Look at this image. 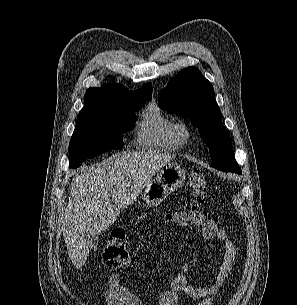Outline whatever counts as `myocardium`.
Masks as SVG:
<instances>
[{"instance_id": "1", "label": "myocardium", "mask_w": 297, "mask_h": 305, "mask_svg": "<svg viewBox=\"0 0 297 305\" xmlns=\"http://www.w3.org/2000/svg\"><path fill=\"white\" fill-rule=\"evenodd\" d=\"M173 134L177 144L183 146L187 144L191 138V128L185 122H176L173 126Z\"/></svg>"}]
</instances>
